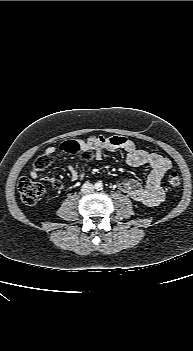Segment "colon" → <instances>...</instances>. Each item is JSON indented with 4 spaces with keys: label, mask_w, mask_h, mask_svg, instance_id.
<instances>
[{
    "label": "colon",
    "mask_w": 193,
    "mask_h": 351,
    "mask_svg": "<svg viewBox=\"0 0 193 351\" xmlns=\"http://www.w3.org/2000/svg\"><path fill=\"white\" fill-rule=\"evenodd\" d=\"M84 160H90L92 158L91 151L87 150L84 155H81ZM54 160L53 154H43L35 162V168L41 170L51 165ZM181 183V178L176 170H172L167 177L168 187L171 189L178 188ZM54 186L59 188L61 186L60 182L56 181ZM18 190L22 201L27 205H34L37 203L39 198L43 195V186L31 179L21 178L18 182Z\"/></svg>",
    "instance_id": "5ec220e1"
}]
</instances>
